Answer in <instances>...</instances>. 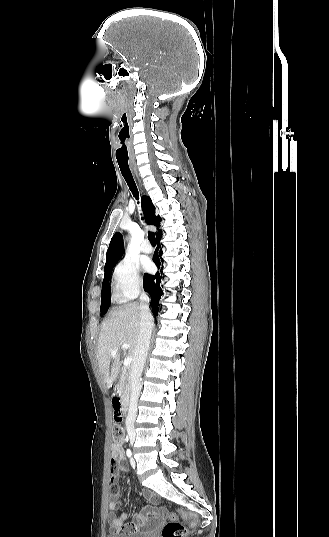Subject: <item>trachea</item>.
I'll return each instance as SVG.
<instances>
[{
	"label": "trachea",
	"instance_id": "1",
	"mask_svg": "<svg viewBox=\"0 0 329 537\" xmlns=\"http://www.w3.org/2000/svg\"><path fill=\"white\" fill-rule=\"evenodd\" d=\"M119 164V168H120V171L124 177V179L126 180L132 194L134 195L135 198L138 199V190H137V186L134 182V179H133V176H132V173L130 171V168H129V165L128 164H123V163H118ZM148 239L149 241L151 242L152 245H156V239H155V235L153 233H149L148 234Z\"/></svg>",
	"mask_w": 329,
	"mask_h": 537
}]
</instances>
